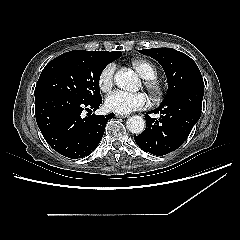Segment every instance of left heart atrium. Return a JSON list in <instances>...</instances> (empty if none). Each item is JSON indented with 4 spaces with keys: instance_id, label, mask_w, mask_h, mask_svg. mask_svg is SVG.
<instances>
[{
    "instance_id": "obj_1",
    "label": "left heart atrium",
    "mask_w": 240,
    "mask_h": 240,
    "mask_svg": "<svg viewBox=\"0 0 240 240\" xmlns=\"http://www.w3.org/2000/svg\"><path fill=\"white\" fill-rule=\"evenodd\" d=\"M147 102L144 93L115 91L106 98L105 105L109 110L118 114H129L132 111L144 108Z\"/></svg>"
}]
</instances>
